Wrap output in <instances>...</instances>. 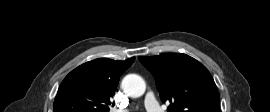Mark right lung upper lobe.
Here are the masks:
<instances>
[{
	"mask_svg": "<svg viewBox=\"0 0 270 112\" xmlns=\"http://www.w3.org/2000/svg\"><path fill=\"white\" fill-rule=\"evenodd\" d=\"M135 58H100L71 71L59 86L54 112H108L121 74Z\"/></svg>",
	"mask_w": 270,
	"mask_h": 112,
	"instance_id": "1",
	"label": "right lung upper lobe"
}]
</instances>
